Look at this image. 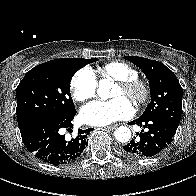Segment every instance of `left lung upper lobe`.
I'll return each mask as SVG.
<instances>
[{
    "mask_svg": "<svg viewBox=\"0 0 196 196\" xmlns=\"http://www.w3.org/2000/svg\"><path fill=\"white\" fill-rule=\"evenodd\" d=\"M149 80L151 102L140 117H163L179 125L182 114L183 90L175 74L164 64L143 57L128 56Z\"/></svg>",
    "mask_w": 196,
    "mask_h": 196,
    "instance_id": "1",
    "label": "left lung upper lobe"
}]
</instances>
